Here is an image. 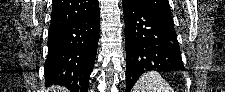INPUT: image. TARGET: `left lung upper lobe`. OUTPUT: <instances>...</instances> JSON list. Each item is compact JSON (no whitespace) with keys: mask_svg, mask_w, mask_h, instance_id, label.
Listing matches in <instances>:
<instances>
[{"mask_svg":"<svg viewBox=\"0 0 225 92\" xmlns=\"http://www.w3.org/2000/svg\"><path fill=\"white\" fill-rule=\"evenodd\" d=\"M150 10L164 13L172 14L170 10V5L168 0H129Z\"/></svg>","mask_w":225,"mask_h":92,"instance_id":"left-lung-upper-lobe-1","label":"left lung upper lobe"}]
</instances>
